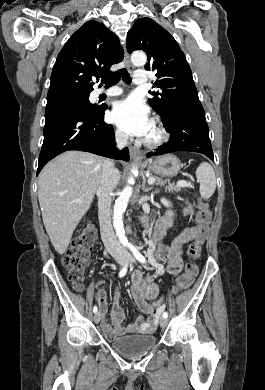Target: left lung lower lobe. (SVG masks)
Instances as JSON below:
<instances>
[{
	"mask_svg": "<svg viewBox=\"0 0 265 390\" xmlns=\"http://www.w3.org/2000/svg\"><path fill=\"white\" fill-rule=\"evenodd\" d=\"M163 126L169 131L170 139L166 144L149 153L148 157L190 151L202 153L214 161L209 129L200 101L175 106L168 121L163 122Z\"/></svg>",
	"mask_w": 265,
	"mask_h": 390,
	"instance_id": "obj_1",
	"label": "left lung lower lobe"
}]
</instances>
